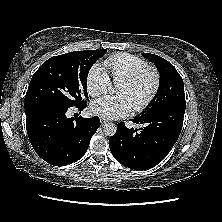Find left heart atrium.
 Instances as JSON below:
<instances>
[{"label":"left heart atrium","mask_w":222,"mask_h":222,"mask_svg":"<svg viewBox=\"0 0 222 222\" xmlns=\"http://www.w3.org/2000/svg\"><path fill=\"white\" fill-rule=\"evenodd\" d=\"M91 110L103 119L114 120L128 115L132 105L124 95H106L94 100Z\"/></svg>","instance_id":"obj_1"}]
</instances>
